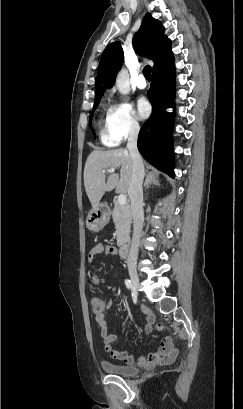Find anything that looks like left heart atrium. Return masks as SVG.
Returning <instances> with one entry per match:
<instances>
[{
    "label": "left heart atrium",
    "instance_id": "39dd6f15",
    "mask_svg": "<svg viewBox=\"0 0 243 409\" xmlns=\"http://www.w3.org/2000/svg\"><path fill=\"white\" fill-rule=\"evenodd\" d=\"M151 112V106L145 98H140L137 101V116L140 119L148 117Z\"/></svg>",
    "mask_w": 243,
    "mask_h": 409
}]
</instances>
